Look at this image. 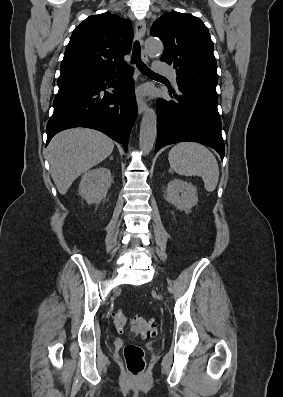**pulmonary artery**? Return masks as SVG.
<instances>
[{
	"label": "pulmonary artery",
	"instance_id": "pulmonary-artery-1",
	"mask_svg": "<svg viewBox=\"0 0 283 397\" xmlns=\"http://www.w3.org/2000/svg\"><path fill=\"white\" fill-rule=\"evenodd\" d=\"M154 68L157 73L170 76L171 79L173 80V82L176 83L177 76H176L175 71L172 68L166 66L165 64H163L161 62H156Z\"/></svg>",
	"mask_w": 283,
	"mask_h": 397
}]
</instances>
